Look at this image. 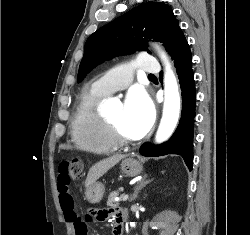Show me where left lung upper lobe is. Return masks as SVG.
<instances>
[{"instance_id": "obj_1", "label": "left lung upper lobe", "mask_w": 250, "mask_h": 235, "mask_svg": "<svg viewBox=\"0 0 250 235\" xmlns=\"http://www.w3.org/2000/svg\"><path fill=\"white\" fill-rule=\"evenodd\" d=\"M178 23L170 6L163 2H149L102 26L86 41L78 82L105 60L147 50L148 39L163 43L170 52L181 30Z\"/></svg>"}]
</instances>
